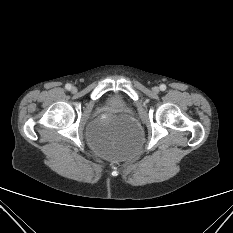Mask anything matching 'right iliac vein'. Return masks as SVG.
Segmentation results:
<instances>
[{
  "label": "right iliac vein",
  "instance_id": "63e3f726",
  "mask_svg": "<svg viewBox=\"0 0 233 233\" xmlns=\"http://www.w3.org/2000/svg\"><path fill=\"white\" fill-rule=\"evenodd\" d=\"M71 91H72L73 93H75V92L77 91V88H76V87H72V88H71Z\"/></svg>",
  "mask_w": 233,
  "mask_h": 233
}]
</instances>
